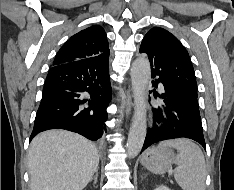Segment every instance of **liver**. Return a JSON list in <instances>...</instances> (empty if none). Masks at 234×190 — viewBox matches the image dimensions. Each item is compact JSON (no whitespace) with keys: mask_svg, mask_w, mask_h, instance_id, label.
I'll use <instances>...</instances> for the list:
<instances>
[{"mask_svg":"<svg viewBox=\"0 0 234 190\" xmlns=\"http://www.w3.org/2000/svg\"><path fill=\"white\" fill-rule=\"evenodd\" d=\"M98 165L97 148L81 135L42 132L32 140L28 153L31 190H82Z\"/></svg>","mask_w":234,"mask_h":190,"instance_id":"1","label":"liver"}]
</instances>
